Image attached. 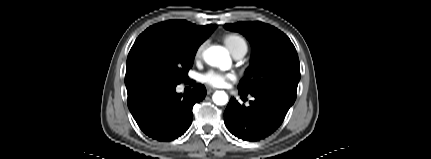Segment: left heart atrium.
I'll return each instance as SVG.
<instances>
[{
  "label": "left heart atrium",
  "instance_id": "39dd6f15",
  "mask_svg": "<svg viewBox=\"0 0 431 159\" xmlns=\"http://www.w3.org/2000/svg\"><path fill=\"white\" fill-rule=\"evenodd\" d=\"M232 78L233 75L230 73H221L218 71L210 70L203 74L202 81L213 87H222L226 84L227 80Z\"/></svg>",
  "mask_w": 431,
  "mask_h": 159
}]
</instances>
